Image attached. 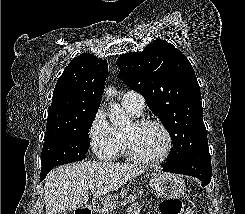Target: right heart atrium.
Masks as SVG:
<instances>
[{
    "instance_id": "1",
    "label": "right heart atrium",
    "mask_w": 245,
    "mask_h": 214,
    "mask_svg": "<svg viewBox=\"0 0 245 214\" xmlns=\"http://www.w3.org/2000/svg\"><path fill=\"white\" fill-rule=\"evenodd\" d=\"M88 137L90 147L100 160H110L116 155L118 138L115 128L108 121L103 110H98L93 116Z\"/></svg>"
}]
</instances>
